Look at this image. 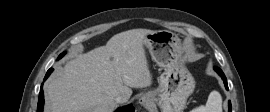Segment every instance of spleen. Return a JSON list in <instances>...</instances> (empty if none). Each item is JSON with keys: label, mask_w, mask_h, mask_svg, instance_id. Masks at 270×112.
<instances>
[{"label": "spleen", "mask_w": 270, "mask_h": 112, "mask_svg": "<svg viewBox=\"0 0 270 112\" xmlns=\"http://www.w3.org/2000/svg\"><path fill=\"white\" fill-rule=\"evenodd\" d=\"M190 112H222V98L219 92L212 91L209 94L207 103L192 109Z\"/></svg>", "instance_id": "obj_1"}]
</instances>
